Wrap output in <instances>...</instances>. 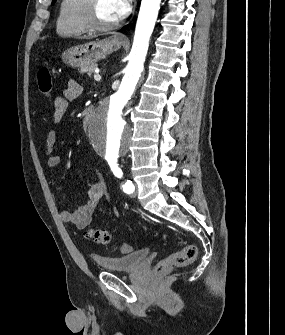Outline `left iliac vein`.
<instances>
[{
    "mask_svg": "<svg viewBox=\"0 0 285 335\" xmlns=\"http://www.w3.org/2000/svg\"><path fill=\"white\" fill-rule=\"evenodd\" d=\"M135 187H136V190L134 191L133 196H136L137 193H138V187H137V185Z\"/></svg>",
    "mask_w": 285,
    "mask_h": 335,
    "instance_id": "left-iliac-vein-1",
    "label": "left iliac vein"
}]
</instances>
